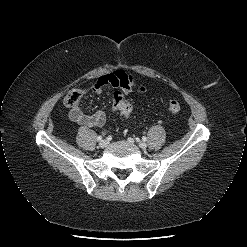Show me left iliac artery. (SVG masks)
I'll use <instances>...</instances> for the list:
<instances>
[{"label": "left iliac artery", "instance_id": "left-iliac-artery-1", "mask_svg": "<svg viewBox=\"0 0 247 247\" xmlns=\"http://www.w3.org/2000/svg\"><path fill=\"white\" fill-rule=\"evenodd\" d=\"M142 139H143V141H146L147 140V138L145 136H143Z\"/></svg>", "mask_w": 247, "mask_h": 247}]
</instances>
